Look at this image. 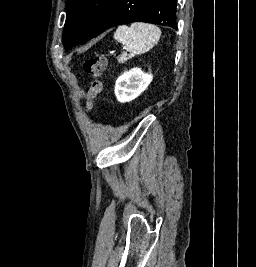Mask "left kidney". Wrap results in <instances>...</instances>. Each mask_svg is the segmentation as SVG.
I'll use <instances>...</instances> for the list:
<instances>
[{"label": "left kidney", "instance_id": "5707ae66", "mask_svg": "<svg viewBox=\"0 0 256 267\" xmlns=\"http://www.w3.org/2000/svg\"><path fill=\"white\" fill-rule=\"evenodd\" d=\"M153 80L152 74H144L141 68H132L119 76L115 84V96L118 102H131L140 96Z\"/></svg>", "mask_w": 256, "mask_h": 267}]
</instances>
